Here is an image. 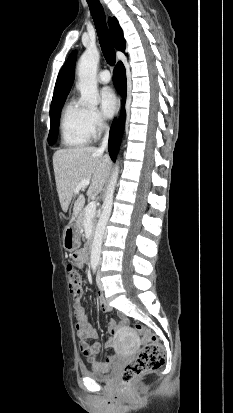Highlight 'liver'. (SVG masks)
<instances>
[{"label": "liver", "instance_id": "1", "mask_svg": "<svg viewBox=\"0 0 233 413\" xmlns=\"http://www.w3.org/2000/svg\"><path fill=\"white\" fill-rule=\"evenodd\" d=\"M53 168L61 208L67 212L74 195L77 199L73 206L71 223L81 211L85 197L82 193H74L80 181L90 180L87 196L98 195L109 176L111 161L103 151L90 147H76L57 150L53 155Z\"/></svg>", "mask_w": 233, "mask_h": 413}]
</instances>
